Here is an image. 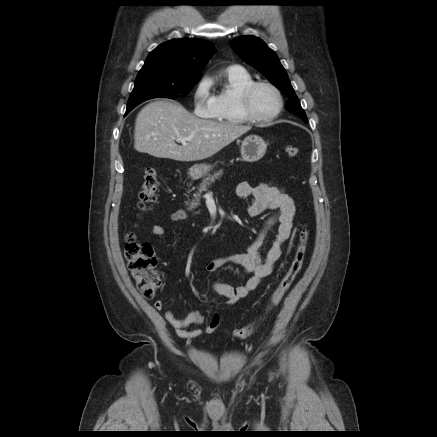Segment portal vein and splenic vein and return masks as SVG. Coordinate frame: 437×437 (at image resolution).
Wrapping results in <instances>:
<instances>
[{"label": "portal vein and splenic vein", "mask_w": 437, "mask_h": 437, "mask_svg": "<svg viewBox=\"0 0 437 437\" xmlns=\"http://www.w3.org/2000/svg\"><path fill=\"white\" fill-rule=\"evenodd\" d=\"M177 141L180 142V143H182L183 145H186L187 138H184V137H178V138H177Z\"/></svg>", "instance_id": "obj_1"}]
</instances>
